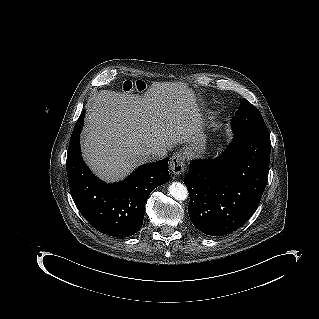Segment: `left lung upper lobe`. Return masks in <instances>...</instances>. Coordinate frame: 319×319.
I'll return each mask as SVG.
<instances>
[{"label": "left lung upper lobe", "mask_w": 319, "mask_h": 319, "mask_svg": "<svg viewBox=\"0 0 319 319\" xmlns=\"http://www.w3.org/2000/svg\"><path fill=\"white\" fill-rule=\"evenodd\" d=\"M232 128L235 134L269 136L259 110L244 98L232 119Z\"/></svg>", "instance_id": "1"}]
</instances>
